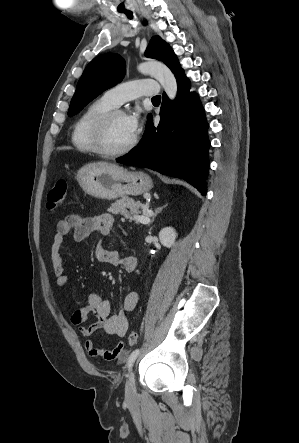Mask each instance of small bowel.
I'll return each mask as SVG.
<instances>
[{
	"instance_id": "c3829d8e",
	"label": "small bowel",
	"mask_w": 299,
	"mask_h": 443,
	"mask_svg": "<svg viewBox=\"0 0 299 443\" xmlns=\"http://www.w3.org/2000/svg\"><path fill=\"white\" fill-rule=\"evenodd\" d=\"M114 224V218L110 214L93 217L71 214L57 223L50 253L53 271L59 288H65L68 285V278L65 275L61 256V247L70 233L73 234L75 241H82L92 233H99L100 239L94 249V256L98 262L120 266L126 272H132L136 269L138 264L137 256H121L118 251L108 248L104 243V239L108 237ZM138 299L136 292L130 291L126 293L123 299V309L116 314H111L109 301L102 298L99 294L91 293L88 296L87 305L77 309L71 315V322L78 326L80 334L85 338H89L98 330H103L108 335L122 338L128 330L127 313L135 310ZM89 312H92L97 320L89 326H82ZM85 347L90 356L110 361L120 357L124 343L119 341L111 349H101L95 346L93 340L87 339Z\"/></svg>"
}]
</instances>
